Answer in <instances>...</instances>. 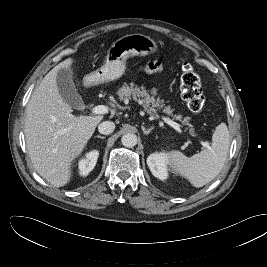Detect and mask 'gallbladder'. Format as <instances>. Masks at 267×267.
I'll return each mask as SVG.
<instances>
[{
    "label": "gallbladder",
    "instance_id": "gallbladder-1",
    "mask_svg": "<svg viewBox=\"0 0 267 267\" xmlns=\"http://www.w3.org/2000/svg\"><path fill=\"white\" fill-rule=\"evenodd\" d=\"M73 79L74 73L71 68L60 69L56 78L58 91L67 104L75 109H81L84 107V102Z\"/></svg>",
    "mask_w": 267,
    "mask_h": 267
}]
</instances>
